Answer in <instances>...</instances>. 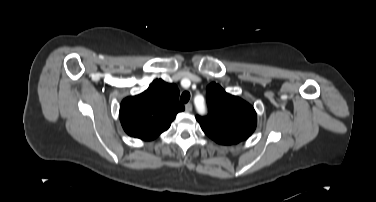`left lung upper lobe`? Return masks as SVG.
Listing matches in <instances>:
<instances>
[{"label": "left lung upper lobe", "instance_id": "obj_1", "mask_svg": "<svg viewBox=\"0 0 376 202\" xmlns=\"http://www.w3.org/2000/svg\"><path fill=\"white\" fill-rule=\"evenodd\" d=\"M208 115L196 116L202 130L219 144L246 140L255 130L257 115L245 100L228 94L216 83L206 88Z\"/></svg>", "mask_w": 376, "mask_h": 202}]
</instances>
